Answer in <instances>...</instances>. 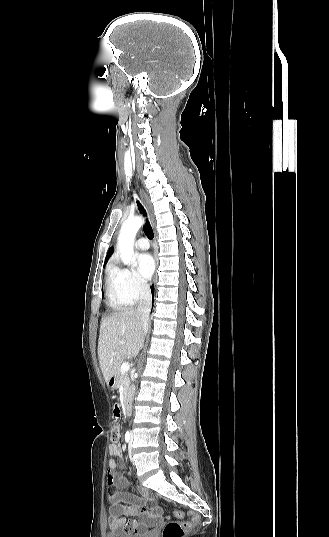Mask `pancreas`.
Instances as JSON below:
<instances>
[{"instance_id": "obj_1", "label": "pancreas", "mask_w": 329, "mask_h": 537, "mask_svg": "<svg viewBox=\"0 0 329 537\" xmlns=\"http://www.w3.org/2000/svg\"><path fill=\"white\" fill-rule=\"evenodd\" d=\"M115 377H116V386L124 387L123 397L125 400H127L130 395V392L133 390V386L131 385L127 372H122L121 368H119L117 370Z\"/></svg>"}]
</instances>
